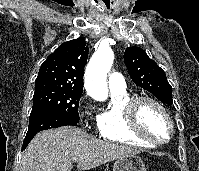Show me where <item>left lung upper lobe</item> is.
<instances>
[{
  "instance_id": "left-lung-upper-lobe-1",
  "label": "left lung upper lobe",
  "mask_w": 199,
  "mask_h": 171,
  "mask_svg": "<svg viewBox=\"0 0 199 171\" xmlns=\"http://www.w3.org/2000/svg\"><path fill=\"white\" fill-rule=\"evenodd\" d=\"M124 62L131 79L141 88L151 92L162 103L171 105L172 87L165 72L146 52L139 47H128L124 52Z\"/></svg>"
}]
</instances>
